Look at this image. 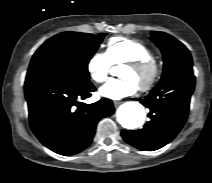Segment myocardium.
I'll use <instances>...</instances> for the list:
<instances>
[{
  "label": "myocardium",
  "mask_w": 212,
  "mask_h": 183,
  "mask_svg": "<svg viewBox=\"0 0 212 183\" xmlns=\"http://www.w3.org/2000/svg\"><path fill=\"white\" fill-rule=\"evenodd\" d=\"M125 66L147 74L144 83L138 86L141 91L149 90L153 87L160 75V67L154 58H142L125 63Z\"/></svg>",
  "instance_id": "obj_1"
}]
</instances>
